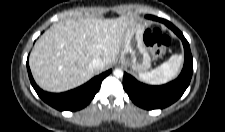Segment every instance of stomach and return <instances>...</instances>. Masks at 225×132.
<instances>
[{
  "instance_id": "stomach-1",
  "label": "stomach",
  "mask_w": 225,
  "mask_h": 132,
  "mask_svg": "<svg viewBox=\"0 0 225 132\" xmlns=\"http://www.w3.org/2000/svg\"><path fill=\"white\" fill-rule=\"evenodd\" d=\"M144 32L145 26L137 21L126 29L119 58L122 66L139 74L146 72L151 66Z\"/></svg>"
}]
</instances>
